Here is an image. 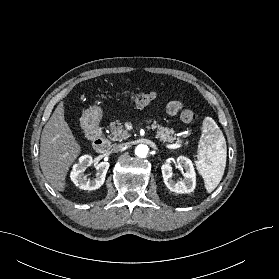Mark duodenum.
I'll return each mask as SVG.
<instances>
[{
  "instance_id": "410a0bca",
  "label": "duodenum",
  "mask_w": 279,
  "mask_h": 279,
  "mask_svg": "<svg viewBox=\"0 0 279 279\" xmlns=\"http://www.w3.org/2000/svg\"><path fill=\"white\" fill-rule=\"evenodd\" d=\"M87 136L92 140V146L98 153H105L110 148L109 140L103 135L102 129L95 123L87 122L85 124Z\"/></svg>"
}]
</instances>
